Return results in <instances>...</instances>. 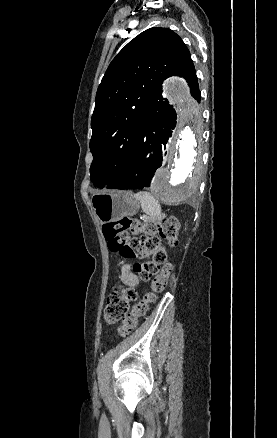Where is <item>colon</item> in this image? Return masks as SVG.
Here are the masks:
<instances>
[{
    "mask_svg": "<svg viewBox=\"0 0 277 438\" xmlns=\"http://www.w3.org/2000/svg\"><path fill=\"white\" fill-rule=\"evenodd\" d=\"M178 230L179 223L175 218L139 221L128 215L120 221L106 223L103 226L104 236L112 252L126 258L151 257V260L142 261L134 266V273L142 281L154 277L150 292L146 293L139 302L132 304L137 298L136 289L132 286H122L107 299L105 321L112 324L124 320L119 328L121 336H127L135 329L149 304L165 289L172 265L168 262L167 250L161 245L160 240L167 241L171 246L175 245L178 240ZM129 232L141 235L130 238ZM130 308H132L131 312H129Z\"/></svg>",
    "mask_w": 277,
    "mask_h": 438,
    "instance_id": "colon-1",
    "label": "colon"
}]
</instances>
